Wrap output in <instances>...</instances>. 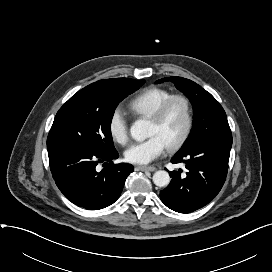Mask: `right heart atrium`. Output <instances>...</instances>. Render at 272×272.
<instances>
[{
    "label": "right heart atrium",
    "mask_w": 272,
    "mask_h": 272,
    "mask_svg": "<svg viewBox=\"0 0 272 272\" xmlns=\"http://www.w3.org/2000/svg\"><path fill=\"white\" fill-rule=\"evenodd\" d=\"M108 131L114 141L125 145L129 139V127L125 113L120 108H115L108 120Z\"/></svg>",
    "instance_id": "1"
}]
</instances>
